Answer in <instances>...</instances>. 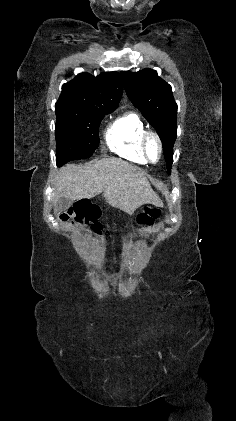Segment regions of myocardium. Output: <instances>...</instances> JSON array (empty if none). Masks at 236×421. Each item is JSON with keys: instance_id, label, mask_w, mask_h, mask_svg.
I'll return each mask as SVG.
<instances>
[{"instance_id": "obj_1", "label": "myocardium", "mask_w": 236, "mask_h": 421, "mask_svg": "<svg viewBox=\"0 0 236 421\" xmlns=\"http://www.w3.org/2000/svg\"><path fill=\"white\" fill-rule=\"evenodd\" d=\"M151 140H155L159 147V159L157 161H152L149 156V143ZM141 150L148 163L156 164L159 162L162 159L164 152V144L159 134L154 131H145L141 137Z\"/></svg>"}]
</instances>
